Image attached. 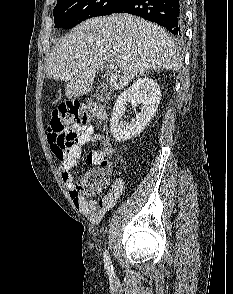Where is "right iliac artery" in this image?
Instances as JSON below:
<instances>
[{"mask_svg":"<svg viewBox=\"0 0 233 294\" xmlns=\"http://www.w3.org/2000/svg\"><path fill=\"white\" fill-rule=\"evenodd\" d=\"M104 263H105V269L107 270V273L110 276L113 275V266L111 264L110 257L107 250H105L104 252Z\"/></svg>","mask_w":233,"mask_h":294,"instance_id":"obj_1","label":"right iliac artery"}]
</instances>
